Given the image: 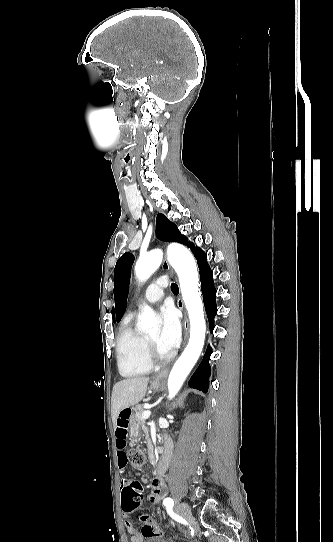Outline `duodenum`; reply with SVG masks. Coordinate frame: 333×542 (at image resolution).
<instances>
[{
  "label": "duodenum",
  "instance_id": "duodenum-1",
  "mask_svg": "<svg viewBox=\"0 0 333 542\" xmlns=\"http://www.w3.org/2000/svg\"><path fill=\"white\" fill-rule=\"evenodd\" d=\"M164 445L165 446H164L162 457H161L160 461L158 462V464L155 467V472H156L157 476H163V474L165 473V471L168 468L169 461H170L171 442H170V440L168 438H165Z\"/></svg>",
  "mask_w": 333,
  "mask_h": 542
}]
</instances>
